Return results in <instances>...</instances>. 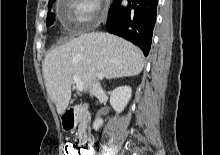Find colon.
I'll use <instances>...</instances> for the list:
<instances>
[{
  "mask_svg": "<svg viewBox=\"0 0 220 155\" xmlns=\"http://www.w3.org/2000/svg\"><path fill=\"white\" fill-rule=\"evenodd\" d=\"M65 155H89V152H85V149H81V146L77 142H67L64 146Z\"/></svg>",
  "mask_w": 220,
  "mask_h": 155,
  "instance_id": "1",
  "label": "colon"
}]
</instances>
